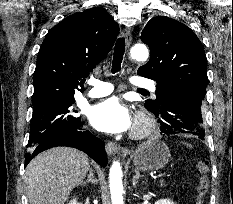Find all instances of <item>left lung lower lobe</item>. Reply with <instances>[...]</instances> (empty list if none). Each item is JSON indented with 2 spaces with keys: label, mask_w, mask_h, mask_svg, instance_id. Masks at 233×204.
<instances>
[{
  "label": "left lung lower lobe",
  "mask_w": 233,
  "mask_h": 204,
  "mask_svg": "<svg viewBox=\"0 0 233 204\" xmlns=\"http://www.w3.org/2000/svg\"><path fill=\"white\" fill-rule=\"evenodd\" d=\"M205 93V90L199 91L189 86H177L160 101L158 109H148L158 118L161 134L189 133L203 139L205 131L201 105Z\"/></svg>",
  "instance_id": "1"
}]
</instances>
